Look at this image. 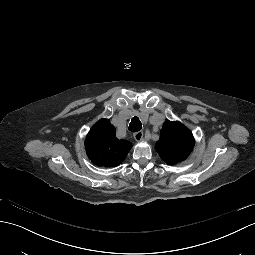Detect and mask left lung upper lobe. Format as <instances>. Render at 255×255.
Returning <instances> with one entry per match:
<instances>
[{
    "instance_id": "1",
    "label": "left lung upper lobe",
    "mask_w": 255,
    "mask_h": 255,
    "mask_svg": "<svg viewBox=\"0 0 255 255\" xmlns=\"http://www.w3.org/2000/svg\"><path fill=\"white\" fill-rule=\"evenodd\" d=\"M194 147V138L180 122L166 121L156 143V150L167 164H176L187 158Z\"/></svg>"
}]
</instances>
